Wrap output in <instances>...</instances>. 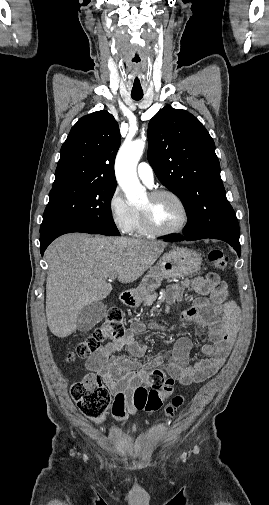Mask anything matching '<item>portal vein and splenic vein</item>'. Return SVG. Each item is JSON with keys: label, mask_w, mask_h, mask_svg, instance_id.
I'll return each mask as SVG.
<instances>
[{"label": "portal vein and splenic vein", "mask_w": 269, "mask_h": 505, "mask_svg": "<svg viewBox=\"0 0 269 505\" xmlns=\"http://www.w3.org/2000/svg\"><path fill=\"white\" fill-rule=\"evenodd\" d=\"M115 278H116V276L112 275V276H110V277H109V281H112V280H114Z\"/></svg>", "instance_id": "18ae733b"}]
</instances>
